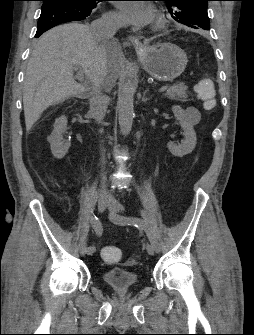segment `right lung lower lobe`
Segmentation results:
<instances>
[{"label": "right lung lower lobe", "instance_id": "1", "mask_svg": "<svg viewBox=\"0 0 254 335\" xmlns=\"http://www.w3.org/2000/svg\"><path fill=\"white\" fill-rule=\"evenodd\" d=\"M92 9L69 1L43 3L35 38L60 23L85 19Z\"/></svg>", "mask_w": 254, "mask_h": 335}]
</instances>
